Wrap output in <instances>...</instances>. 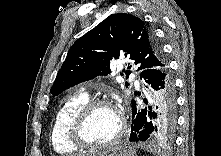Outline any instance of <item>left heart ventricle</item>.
Here are the masks:
<instances>
[{
    "label": "left heart ventricle",
    "mask_w": 221,
    "mask_h": 156,
    "mask_svg": "<svg viewBox=\"0 0 221 156\" xmlns=\"http://www.w3.org/2000/svg\"><path fill=\"white\" fill-rule=\"evenodd\" d=\"M118 128L117 113L111 108L101 107L90 114L83 127L82 135L86 141L100 144L111 139Z\"/></svg>",
    "instance_id": "1"
}]
</instances>
